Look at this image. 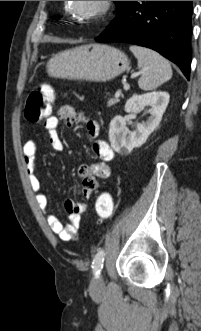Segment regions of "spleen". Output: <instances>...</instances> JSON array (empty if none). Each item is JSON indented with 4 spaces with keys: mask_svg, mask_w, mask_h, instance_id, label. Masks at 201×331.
Masks as SVG:
<instances>
[{
    "mask_svg": "<svg viewBox=\"0 0 201 331\" xmlns=\"http://www.w3.org/2000/svg\"><path fill=\"white\" fill-rule=\"evenodd\" d=\"M130 51L137 58L142 73L138 80L142 90H154L172 77L169 61L156 51L138 45H131Z\"/></svg>",
    "mask_w": 201,
    "mask_h": 331,
    "instance_id": "1",
    "label": "spleen"
}]
</instances>
